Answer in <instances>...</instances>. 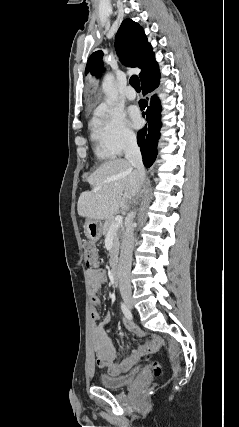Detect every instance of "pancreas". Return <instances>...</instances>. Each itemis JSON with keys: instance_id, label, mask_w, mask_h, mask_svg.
Wrapping results in <instances>:
<instances>
[{"instance_id": "pancreas-1", "label": "pancreas", "mask_w": 239, "mask_h": 427, "mask_svg": "<svg viewBox=\"0 0 239 427\" xmlns=\"http://www.w3.org/2000/svg\"><path fill=\"white\" fill-rule=\"evenodd\" d=\"M114 222H115L114 218H110V219L106 220V222L104 223L103 228H102L103 234H107L111 225ZM122 234H123V228L119 227L114 234L113 247L109 253V256H110L109 263L111 266H113L117 260L118 253H119V239L121 238Z\"/></svg>"}]
</instances>
